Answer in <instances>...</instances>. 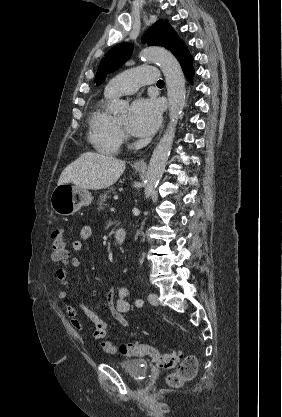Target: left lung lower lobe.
Segmentation results:
<instances>
[{
    "mask_svg": "<svg viewBox=\"0 0 282 417\" xmlns=\"http://www.w3.org/2000/svg\"><path fill=\"white\" fill-rule=\"evenodd\" d=\"M174 55L178 59L182 70L189 81H192L194 75V69L192 65L193 58L187 50L186 45L178 47L174 51Z\"/></svg>",
    "mask_w": 282,
    "mask_h": 417,
    "instance_id": "1",
    "label": "left lung lower lobe"
}]
</instances>
